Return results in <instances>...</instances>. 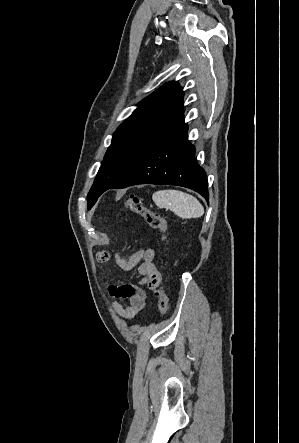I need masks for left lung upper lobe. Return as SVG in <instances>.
Returning <instances> with one entry per match:
<instances>
[{"mask_svg":"<svg viewBox=\"0 0 299 443\" xmlns=\"http://www.w3.org/2000/svg\"><path fill=\"white\" fill-rule=\"evenodd\" d=\"M183 97L177 82L166 83L140 102L117 128L88 193V208L145 153L184 122Z\"/></svg>","mask_w":299,"mask_h":443,"instance_id":"1","label":"left lung upper lobe"}]
</instances>
